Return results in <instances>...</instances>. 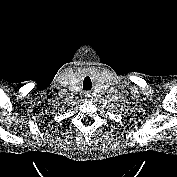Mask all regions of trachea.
I'll list each match as a JSON object with an SVG mask.
<instances>
[{
    "instance_id": "1",
    "label": "trachea",
    "mask_w": 177,
    "mask_h": 177,
    "mask_svg": "<svg viewBox=\"0 0 177 177\" xmlns=\"http://www.w3.org/2000/svg\"><path fill=\"white\" fill-rule=\"evenodd\" d=\"M92 88V83L90 77H85L83 81V89L84 90H91Z\"/></svg>"
}]
</instances>
